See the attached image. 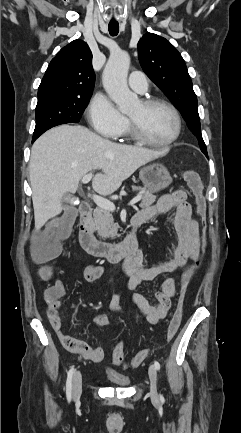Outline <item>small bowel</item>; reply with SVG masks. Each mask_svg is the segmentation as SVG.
I'll return each instance as SVG.
<instances>
[{
	"label": "small bowel",
	"mask_w": 241,
	"mask_h": 433,
	"mask_svg": "<svg viewBox=\"0 0 241 433\" xmlns=\"http://www.w3.org/2000/svg\"><path fill=\"white\" fill-rule=\"evenodd\" d=\"M170 212H174V227L178 236V243L172 251L171 258L151 266L146 265L141 252L128 259L125 264L127 280L110 302V308L113 311L120 312L125 309V306L121 303L124 291L136 289L145 283L153 281L160 275L182 268L189 261L199 260L201 250L199 225L192 217L191 206L187 201V194L184 190H175L162 196L156 204L144 208L136 215L143 216L147 221ZM103 273L104 267L97 264H89L84 269V277L88 282L96 281ZM49 289L55 290L56 296L47 298V317L64 348L81 359L101 362L104 358V351L101 347L89 345L65 334L62 330L58 309L61 306L60 299L66 296L64 284L61 281H56ZM174 295L175 282L172 278L166 277L162 281L160 288L155 290L153 299L142 293H137L131 298L128 307L140 309L146 315L148 322L155 325L167 316ZM108 324L109 318L106 314H98L92 319V325L97 329Z\"/></svg>",
	"instance_id": "obj_1"
}]
</instances>
